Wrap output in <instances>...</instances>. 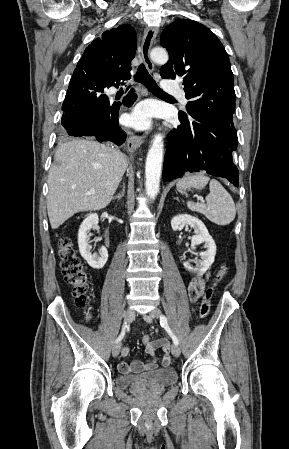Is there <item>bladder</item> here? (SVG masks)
Instances as JSON below:
<instances>
[{
	"label": "bladder",
	"mask_w": 289,
	"mask_h": 449,
	"mask_svg": "<svg viewBox=\"0 0 289 449\" xmlns=\"http://www.w3.org/2000/svg\"><path fill=\"white\" fill-rule=\"evenodd\" d=\"M176 381L177 372L175 369L159 368L136 375H119L115 379V384L120 389H130L133 387L152 388L171 386Z\"/></svg>",
	"instance_id": "1"
}]
</instances>
